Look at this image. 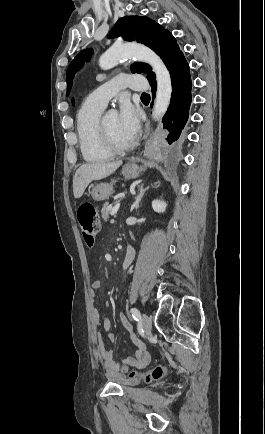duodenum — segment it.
I'll return each mask as SVG.
<instances>
[{"mask_svg": "<svg viewBox=\"0 0 265 434\" xmlns=\"http://www.w3.org/2000/svg\"><path fill=\"white\" fill-rule=\"evenodd\" d=\"M134 256H135V248L133 246H130L122 258V262H121L122 270H124L132 262Z\"/></svg>", "mask_w": 265, "mask_h": 434, "instance_id": "1", "label": "duodenum"}]
</instances>
